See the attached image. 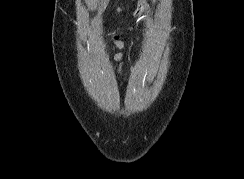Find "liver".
Masks as SVG:
<instances>
[{
    "mask_svg": "<svg viewBox=\"0 0 244 179\" xmlns=\"http://www.w3.org/2000/svg\"><path fill=\"white\" fill-rule=\"evenodd\" d=\"M109 0H102L101 2V6L102 8H100V10H105L107 4H108Z\"/></svg>",
    "mask_w": 244,
    "mask_h": 179,
    "instance_id": "6515ba94",
    "label": "liver"
}]
</instances>
